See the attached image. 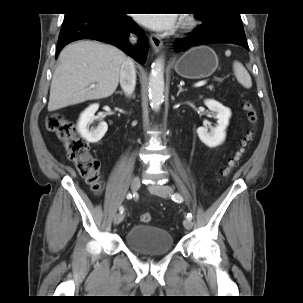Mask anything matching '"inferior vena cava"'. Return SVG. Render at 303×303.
I'll return each instance as SVG.
<instances>
[{"label":"inferior vena cava","mask_w":303,"mask_h":303,"mask_svg":"<svg viewBox=\"0 0 303 303\" xmlns=\"http://www.w3.org/2000/svg\"><path fill=\"white\" fill-rule=\"evenodd\" d=\"M137 38L130 37L131 43H136ZM120 85L125 95L130 96L134 92L136 85V69L134 62L131 58L126 57L122 63L120 71Z\"/></svg>","instance_id":"obj_1"}]
</instances>
